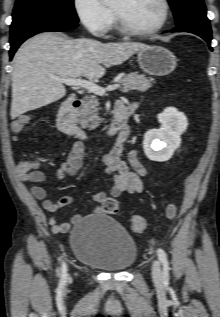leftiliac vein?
Returning a JSON list of instances; mask_svg holds the SVG:
<instances>
[{
	"instance_id": "left-iliac-vein-1",
	"label": "left iliac vein",
	"mask_w": 220,
	"mask_h": 317,
	"mask_svg": "<svg viewBox=\"0 0 220 317\" xmlns=\"http://www.w3.org/2000/svg\"><path fill=\"white\" fill-rule=\"evenodd\" d=\"M152 276L155 282L162 281V270L158 260H155L152 264Z\"/></svg>"
}]
</instances>
